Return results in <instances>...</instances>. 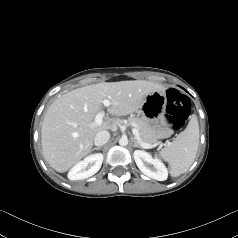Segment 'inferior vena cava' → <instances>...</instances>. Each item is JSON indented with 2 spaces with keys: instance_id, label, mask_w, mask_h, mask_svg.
<instances>
[{
  "instance_id": "602c4592",
  "label": "inferior vena cava",
  "mask_w": 238,
  "mask_h": 238,
  "mask_svg": "<svg viewBox=\"0 0 238 238\" xmlns=\"http://www.w3.org/2000/svg\"><path fill=\"white\" fill-rule=\"evenodd\" d=\"M110 139V133L106 130L99 131L95 138H94V144L96 146H102L106 144Z\"/></svg>"
}]
</instances>
